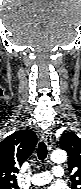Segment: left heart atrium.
Segmentation results:
<instances>
[{"instance_id":"left-heart-atrium-1","label":"left heart atrium","mask_w":81,"mask_h":189,"mask_svg":"<svg viewBox=\"0 0 81 189\" xmlns=\"http://www.w3.org/2000/svg\"><path fill=\"white\" fill-rule=\"evenodd\" d=\"M47 189H60V188L57 186H51V187H48Z\"/></svg>"}]
</instances>
